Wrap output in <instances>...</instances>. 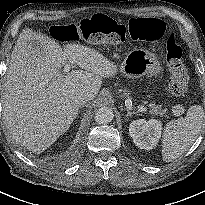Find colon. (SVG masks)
Listing matches in <instances>:
<instances>
[{"mask_svg":"<svg viewBox=\"0 0 205 205\" xmlns=\"http://www.w3.org/2000/svg\"><path fill=\"white\" fill-rule=\"evenodd\" d=\"M164 31V23L158 18H132L126 29L101 13L84 18L78 24H53L49 27L50 35L60 43L84 41L99 45H121L128 39L154 42L163 36ZM166 61L170 70V91L175 96H184L189 88V75L182 61L181 47L174 34L167 42Z\"/></svg>","mask_w":205,"mask_h":205,"instance_id":"obj_1","label":"colon"}]
</instances>
